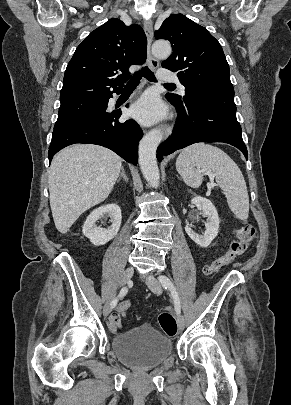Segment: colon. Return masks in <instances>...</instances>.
Returning a JSON list of instances; mask_svg holds the SVG:
<instances>
[{
	"mask_svg": "<svg viewBox=\"0 0 291 405\" xmlns=\"http://www.w3.org/2000/svg\"><path fill=\"white\" fill-rule=\"evenodd\" d=\"M255 235V229L252 225H244L237 227L234 230V238L231 240L228 250L225 254L215 259L204 269L206 275H213L224 266L230 264L236 258L243 255L248 249ZM131 302L124 300L119 303L116 311L112 314V318L120 319L130 309ZM158 322L161 329L170 337H174L177 333V323L174 316L169 312L159 314Z\"/></svg>",
	"mask_w": 291,
	"mask_h": 405,
	"instance_id": "5ec220e1",
	"label": "colon"
}]
</instances>
